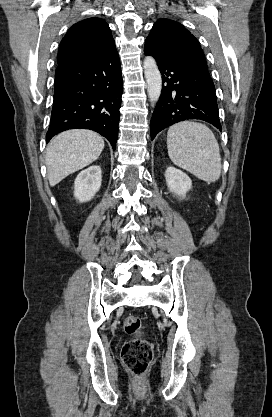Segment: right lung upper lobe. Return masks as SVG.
I'll list each match as a JSON object with an SVG mask.
<instances>
[{
    "mask_svg": "<svg viewBox=\"0 0 272 417\" xmlns=\"http://www.w3.org/2000/svg\"><path fill=\"white\" fill-rule=\"evenodd\" d=\"M111 30L100 18L77 22L66 33L59 45L58 66L82 64L96 60L112 45Z\"/></svg>",
    "mask_w": 272,
    "mask_h": 417,
    "instance_id": "1",
    "label": "right lung upper lobe"
}]
</instances>
